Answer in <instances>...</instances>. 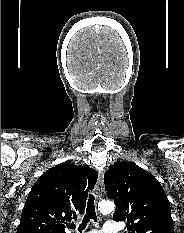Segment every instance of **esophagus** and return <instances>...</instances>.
<instances>
[{"instance_id":"esophagus-1","label":"esophagus","mask_w":184,"mask_h":233,"mask_svg":"<svg viewBox=\"0 0 184 233\" xmlns=\"http://www.w3.org/2000/svg\"><path fill=\"white\" fill-rule=\"evenodd\" d=\"M103 177L104 173L102 170L99 171V176H98V185H97V191H96V197L97 199H101L102 197V192H103Z\"/></svg>"}]
</instances>
